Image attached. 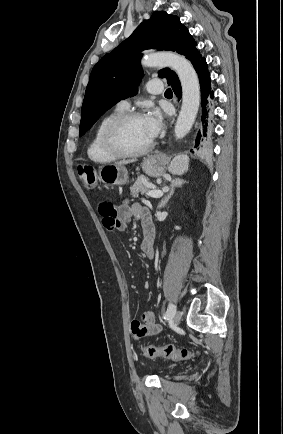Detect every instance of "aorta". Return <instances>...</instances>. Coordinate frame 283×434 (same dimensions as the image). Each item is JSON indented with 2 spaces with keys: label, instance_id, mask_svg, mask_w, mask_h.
Listing matches in <instances>:
<instances>
[{
  "label": "aorta",
  "instance_id": "aorta-1",
  "mask_svg": "<svg viewBox=\"0 0 283 434\" xmlns=\"http://www.w3.org/2000/svg\"><path fill=\"white\" fill-rule=\"evenodd\" d=\"M144 67L172 68L178 75L182 86V107L176 125L175 136L181 139L192 128L200 105V85L196 71L184 57L174 53H154L143 57Z\"/></svg>",
  "mask_w": 283,
  "mask_h": 434
}]
</instances>
